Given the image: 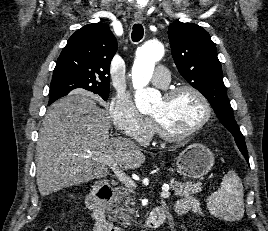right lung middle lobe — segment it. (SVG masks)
Here are the masks:
<instances>
[{
	"instance_id": "right-lung-middle-lobe-1",
	"label": "right lung middle lobe",
	"mask_w": 268,
	"mask_h": 231,
	"mask_svg": "<svg viewBox=\"0 0 268 231\" xmlns=\"http://www.w3.org/2000/svg\"><path fill=\"white\" fill-rule=\"evenodd\" d=\"M67 90L63 88H50L49 97L57 96V95H66ZM96 94L100 95L104 100H107L109 97V91L96 92Z\"/></svg>"
}]
</instances>
